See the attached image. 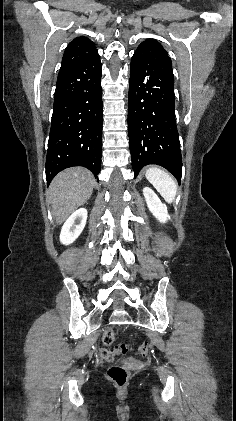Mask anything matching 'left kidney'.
I'll return each mask as SVG.
<instances>
[{
  "label": "left kidney",
  "instance_id": "obj_1",
  "mask_svg": "<svg viewBox=\"0 0 236 421\" xmlns=\"http://www.w3.org/2000/svg\"><path fill=\"white\" fill-rule=\"evenodd\" d=\"M143 194L145 196L149 211H151L155 219H157L159 223H166V221L169 219L167 208L165 204H162L156 192H154L152 188H149V186H145V188H143Z\"/></svg>",
  "mask_w": 236,
  "mask_h": 421
}]
</instances>
